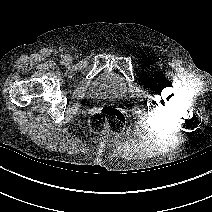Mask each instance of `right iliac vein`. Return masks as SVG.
I'll list each match as a JSON object with an SVG mask.
<instances>
[{"label": "right iliac vein", "mask_w": 212, "mask_h": 212, "mask_svg": "<svg viewBox=\"0 0 212 212\" xmlns=\"http://www.w3.org/2000/svg\"><path fill=\"white\" fill-rule=\"evenodd\" d=\"M64 61H65V63H70V58L69 57H65Z\"/></svg>", "instance_id": "right-iliac-vein-1"}]
</instances>
